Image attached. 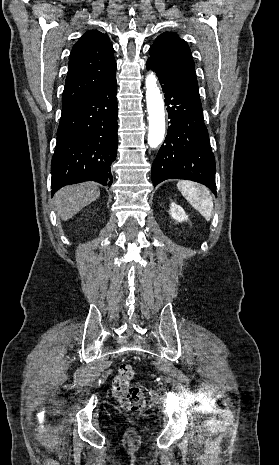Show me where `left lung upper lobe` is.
I'll use <instances>...</instances> for the list:
<instances>
[{"label": "left lung upper lobe", "instance_id": "5c2ea615", "mask_svg": "<svg viewBox=\"0 0 279 465\" xmlns=\"http://www.w3.org/2000/svg\"><path fill=\"white\" fill-rule=\"evenodd\" d=\"M149 53L148 60L198 85L195 75V63L189 46L176 33L165 32L159 35L150 47Z\"/></svg>", "mask_w": 279, "mask_h": 465}]
</instances>
